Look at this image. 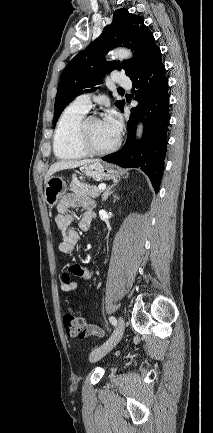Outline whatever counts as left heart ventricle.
Here are the masks:
<instances>
[{
	"label": "left heart ventricle",
	"instance_id": "1",
	"mask_svg": "<svg viewBox=\"0 0 213 433\" xmlns=\"http://www.w3.org/2000/svg\"><path fill=\"white\" fill-rule=\"evenodd\" d=\"M88 137L92 146L97 149H106L117 139V135L101 119L89 123Z\"/></svg>",
	"mask_w": 213,
	"mask_h": 433
}]
</instances>
